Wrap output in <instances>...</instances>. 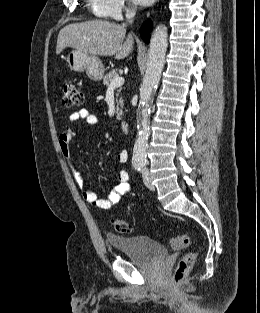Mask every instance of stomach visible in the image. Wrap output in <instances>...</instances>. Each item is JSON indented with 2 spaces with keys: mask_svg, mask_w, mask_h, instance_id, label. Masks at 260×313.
<instances>
[{
  "mask_svg": "<svg viewBox=\"0 0 260 313\" xmlns=\"http://www.w3.org/2000/svg\"><path fill=\"white\" fill-rule=\"evenodd\" d=\"M66 61L71 70L86 71L87 76L94 81H100L104 76L105 68L96 55L73 50L68 54Z\"/></svg>",
  "mask_w": 260,
  "mask_h": 313,
  "instance_id": "1",
  "label": "stomach"
}]
</instances>
